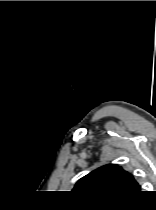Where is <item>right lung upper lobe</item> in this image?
I'll use <instances>...</instances> for the list:
<instances>
[{
    "label": "right lung upper lobe",
    "instance_id": "right-lung-upper-lobe-1",
    "mask_svg": "<svg viewBox=\"0 0 156 210\" xmlns=\"http://www.w3.org/2000/svg\"><path fill=\"white\" fill-rule=\"evenodd\" d=\"M73 191L87 197L129 198L139 194L141 187L132 174L108 164L81 178Z\"/></svg>",
    "mask_w": 156,
    "mask_h": 210
}]
</instances>
